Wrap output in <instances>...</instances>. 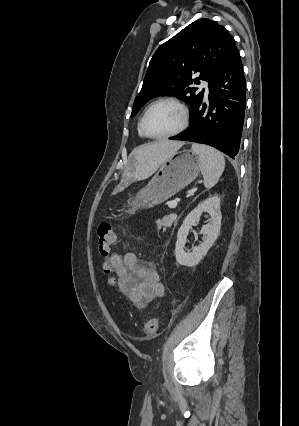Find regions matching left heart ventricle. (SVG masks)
Instances as JSON below:
<instances>
[{
    "label": "left heart ventricle",
    "instance_id": "obj_1",
    "mask_svg": "<svg viewBox=\"0 0 299 426\" xmlns=\"http://www.w3.org/2000/svg\"><path fill=\"white\" fill-rule=\"evenodd\" d=\"M182 122L180 109L171 103L153 107L145 120V128L151 135H165L176 130Z\"/></svg>",
    "mask_w": 299,
    "mask_h": 426
}]
</instances>
